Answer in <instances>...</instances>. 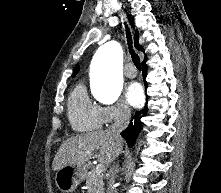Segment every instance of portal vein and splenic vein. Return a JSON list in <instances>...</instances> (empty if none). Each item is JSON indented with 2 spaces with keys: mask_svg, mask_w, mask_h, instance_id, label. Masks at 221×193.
I'll return each instance as SVG.
<instances>
[{
  "mask_svg": "<svg viewBox=\"0 0 221 193\" xmlns=\"http://www.w3.org/2000/svg\"><path fill=\"white\" fill-rule=\"evenodd\" d=\"M103 170H104V164H98V165L96 166V172H97L98 174H101V173L103 172Z\"/></svg>",
  "mask_w": 221,
  "mask_h": 193,
  "instance_id": "1",
  "label": "portal vein and splenic vein"
}]
</instances>
